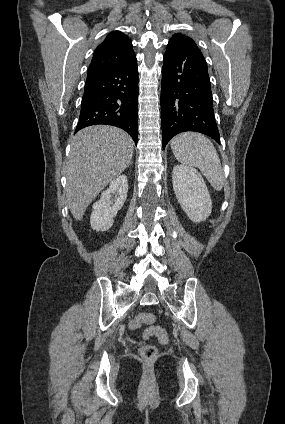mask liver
<instances>
[{"label": "liver", "instance_id": "liver-1", "mask_svg": "<svg viewBox=\"0 0 285 424\" xmlns=\"http://www.w3.org/2000/svg\"><path fill=\"white\" fill-rule=\"evenodd\" d=\"M132 138L122 129L108 125L89 126L72 140L66 167V197L77 221L83 219L94 198L130 164Z\"/></svg>", "mask_w": 285, "mask_h": 424}]
</instances>
